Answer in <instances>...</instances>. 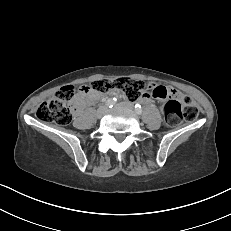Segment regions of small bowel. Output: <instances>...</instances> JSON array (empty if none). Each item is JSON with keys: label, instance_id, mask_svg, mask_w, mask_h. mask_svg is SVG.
<instances>
[{"label": "small bowel", "instance_id": "c3829d8e", "mask_svg": "<svg viewBox=\"0 0 231 231\" xmlns=\"http://www.w3.org/2000/svg\"><path fill=\"white\" fill-rule=\"evenodd\" d=\"M113 93H116L113 91ZM180 92L170 86H152L150 90H147L141 97V101L148 103L153 97L156 98H169L179 99ZM99 98V94L92 91L88 86H81L78 89V95L74 100V108L80 110L84 105L93 104Z\"/></svg>", "mask_w": 231, "mask_h": 231}]
</instances>
